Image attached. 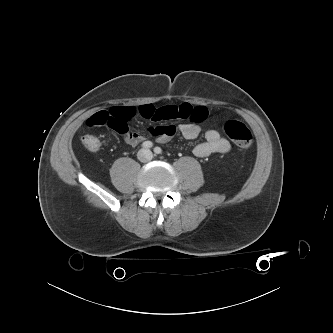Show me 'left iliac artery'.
<instances>
[{"label":"left iliac artery","mask_w":333,"mask_h":333,"mask_svg":"<svg viewBox=\"0 0 333 333\" xmlns=\"http://www.w3.org/2000/svg\"><path fill=\"white\" fill-rule=\"evenodd\" d=\"M154 153L155 154H161L162 153V149L160 147H155L154 148Z\"/></svg>","instance_id":"obj_1"}]
</instances>
